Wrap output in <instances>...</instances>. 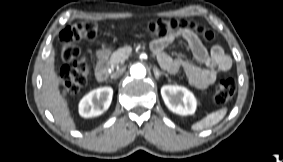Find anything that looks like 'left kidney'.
<instances>
[{
	"label": "left kidney",
	"instance_id": "1",
	"mask_svg": "<svg viewBox=\"0 0 283 162\" xmlns=\"http://www.w3.org/2000/svg\"><path fill=\"white\" fill-rule=\"evenodd\" d=\"M161 95L165 105L179 115H192L196 110V99L192 92L179 85H164Z\"/></svg>",
	"mask_w": 283,
	"mask_h": 162
}]
</instances>
